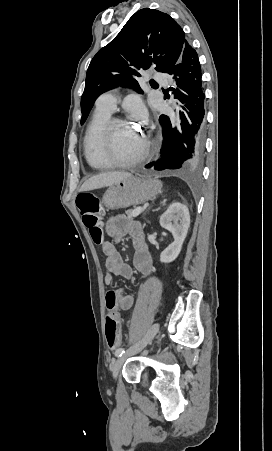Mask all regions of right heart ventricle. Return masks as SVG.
Segmentation results:
<instances>
[{"label": "right heart ventricle", "instance_id": "e07e8e85", "mask_svg": "<svg viewBox=\"0 0 272 451\" xmlns=\"http://www.w3.org/2000/svg\"><path fill=\"white\" fill-rule=\"evenodd\" d=\"M110 111L96 107L92 121L85 136V156L88 164L95 170H101L108 164L105 161L102 145L98 141V135L104 123L110 118Z\"/></svg>", "mask_w": 272, "mask_h": 451}]
</instances>
